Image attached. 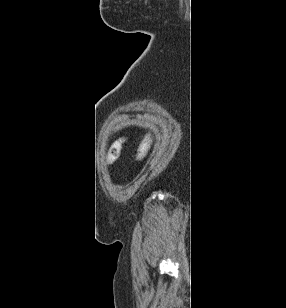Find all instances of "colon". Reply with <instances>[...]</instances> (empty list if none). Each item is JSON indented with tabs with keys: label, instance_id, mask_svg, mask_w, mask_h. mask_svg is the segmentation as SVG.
<instances>
[{
	"label": "colon",
	"instance_id": "colon-1",
	"mask_svg": "<svg viewBox=\"0 0 286 308\" xmlns=\"http://www.w3.org/2000/svg\"><path fill=\"white\" fill-rule=\"evenodd\" d=\"M125 142H126V139L121 138V139L116 140L111 145L109 152H108V156H107V162L109 164L114 163L118 159L121 149L123 145L125 144ZM149 150H150V141L147 140L140 146L138 150L137 160L138 161L144 160Z\"/></svg>",
	"mask_w": 286,
	"mask_h": 308
}]
</instances>
